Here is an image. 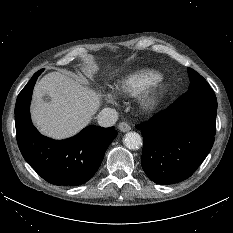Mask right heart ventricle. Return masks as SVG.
I'll return each instance as SVG.
<instances>
[{
    "label": "right heart ventricle",
    "instance_id": "right-heart-ventricle-1",
    "mask_svg": "<svg viewBox=\"0 0 233 233\" xmlns=\"http://www.w3.org/2000/svg\"><path fill=\"white\" fill-rule=\"evenodd\" d=\"M162 79V74L151 68H138L124 76L116 86L120 95L136 96Z\"/></svg>",
    "mask_w": 233,
    "mask_h": 233
}]
</instances>
